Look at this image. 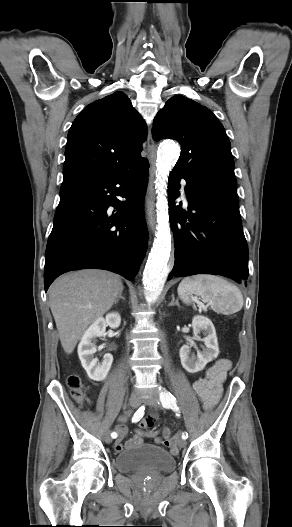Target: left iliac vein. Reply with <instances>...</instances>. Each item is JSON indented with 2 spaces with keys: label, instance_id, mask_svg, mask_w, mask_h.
I'll return each instance as SVG.
<instances>
[{
  "label": "left iliac vein",
  "instance_id": "left-iliac-vein-1",
  "mask_svg": "<svg viewBox=\"0 0 292 527\" xmlns=\"http://www.w3.org/2000/svg\"><path fill=\"white\" fill-rule=\"evenodd\" d=\"M144 402L147 405H149L151 407H154V408H159L160 407L159 398H158V396L156 394H153L150 397L144 399ZM178 445H179V447H182V448L185 447L186 446V440H184V439L179 440Z\"/></svg>",
  "mask_w": 292,
  "mask_h": 527
}]
</instances>
